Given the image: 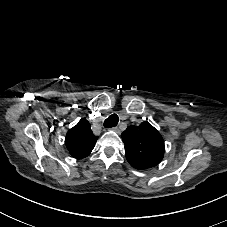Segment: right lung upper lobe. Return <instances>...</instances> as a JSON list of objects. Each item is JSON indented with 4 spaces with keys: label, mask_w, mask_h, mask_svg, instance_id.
Masks as SVG:
<instances>
[{
    "label": "right lung upper lobe",
    "mask_w": 227,
    "mask_h": 227,
    "mask_svg": "<svg viewBox=\"0 0 227 227\" xmlns=\"http://www.w3.org/2000/svg\"><path fill=\"white\" fill-rule=\"evenodd\" d=\"M98 137L90 128L86 119H81L66 135L65 144L70 154L76 159L87 157L95 146Z\"/></svg>",
    "instance_id": "obj_1"
}]
</instances>
